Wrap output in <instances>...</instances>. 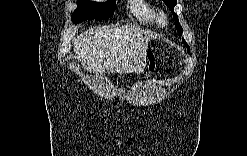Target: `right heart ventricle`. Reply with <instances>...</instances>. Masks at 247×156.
<instances>
[{"label": "right heart ventricle", "instance_id": "obj_1", "mask_svg": "<svg viewBox=\"0 0 247 156\" xmlns=\"http://www.w3.org/2000/svg\"><path fill=\"white\" fill-rule=\"evenodd\" d=\"M130 13L139 23L146 26L156 24L159 17V11L149 2L145 1L132 2Z\"/></svg>", "mask_w": 247, "mask_h": 156}]
</instances>
